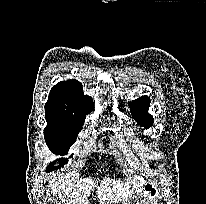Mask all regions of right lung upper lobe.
<instances>
[{
  "label": "right lung upper lobe",
  "mask_w": 206,
  "mask_h": 204,
  "mask_svg": "<svg viewBox=\"0 0 206 204\" xmlns=\"http://www.w3.org/2000/svg\"><path fill=\"white\" fill-rule=\"evenodd\" d=\"M94 108L92 97L84 95L82 84L76 80L61 81L53 86L48 101L47 111H59L86 116Z\"/></svg>",
  "instance_id": "1"
}]
</instances>
